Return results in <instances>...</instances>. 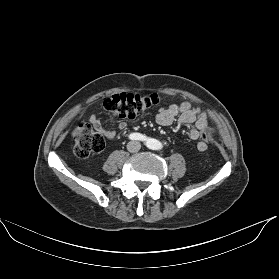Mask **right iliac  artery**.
Segmentation results:
<instances>
[{
	"instance_id": "1",
	"label": "right iliac artery",
	"mask_w": 279,
	"mask_h": 279,
	"mask_svg": "<svg viewBox=\"0 0 279 279\" xmlns=\"http://www.w3.org/2000/svg\"><path fill=\"white\" fill-rule=\"evenodd\" d=\"M129 139L130 140H140V141H144L146 140V137L143 136L142 134L140 133H132L129 135Z\"/></svg>"
}]
</instances>
